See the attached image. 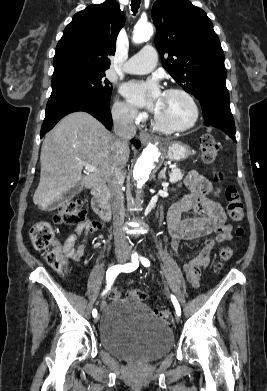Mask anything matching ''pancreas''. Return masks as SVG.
Instances as JSON below:
<instances>
[{
	"mask_svg": "<svg viewBox=\"0 0 267 391\" xmlns=\"http://www.w3.org/2000/svg\"><path fill=\"white\" fill-rule=\"evenodd\" d=\"M169 177H170L169 181L171 183H176V182L182 180L183 174H182V171L179 168L174 167V168H172V171L169 174Z\"/></svg>",
	"mask_w": 267,
	"mask_h": 391,
	"instance_id": "obj_1",
	"label": "pancreas"
}]
</instances>
